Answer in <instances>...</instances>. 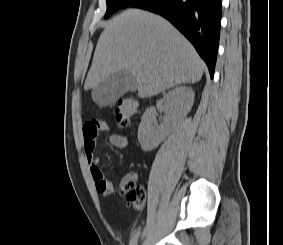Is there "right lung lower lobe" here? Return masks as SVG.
Wrapping results in <instances>:
<instances>
[{
    "label": "right lung lower lobe",
    "mask_w": 283,
    "mask_h": 245,
    "mask_svg": "<svg viewBox=\"0 0 283 245\" xmlns=\"http://www.w3.org/2000/svg\"><path fill=\"white\" fill-rule=\"evenodd\" d=\"M131 7L149 10L168 19L194 45L213 77L220 36L221 0H140Z\"/></svg>",
    "instance_id": "1"
}]
</instances>
